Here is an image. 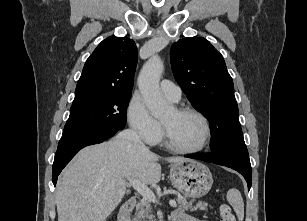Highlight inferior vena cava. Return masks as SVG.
I'll use <instances>...</instances> for the list:
<instances>
[{"instance_id":"1","label":"inferior vena cava","mask_w":307,"mask_h":221,"mask_svg":"<svg viewBox=\"0 0 307 221\" xmlns=\"http://www.w3.org/2000/svg\"><path fill=\"white\" fill-rule=\"evenodd\" d=\"M117 138L122 139V140H126V141H130L133 144L138 145L139 147H141L143 149L145 148V145L141 141L138 133L133 129H127V130L120 132L117 135Z\"/></svg>"}]
</instances>
